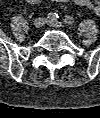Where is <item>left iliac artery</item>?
<instances>
[{
	"instance_id": "1",
	"label": "left iliac artery",
	"mask_w": 100,
	"mask_h": 118,
	"mask_svg": "<svg viewBox=\"0 0 100 118\" xmlns=\"http://www.w3.org/2000/svg\"><path fill=\"white\" fill-rule=\"evenodd\" d=\"M64 22L68 25H72L74 23V19L71 16H66Z\"/></svg>"
}]
</instances>
